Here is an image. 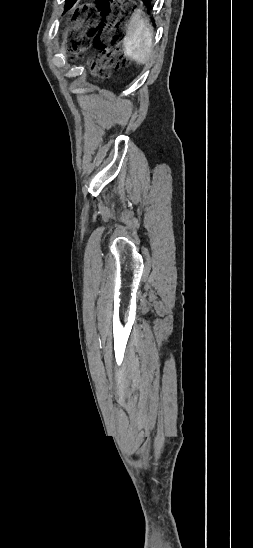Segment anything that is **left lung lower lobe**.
<instances>
[{
    "label": "left lung lower lobe",
    "mask_w": 253,
    "mask_h": 548,
    "mask_svg": "<svg viewBox=\"0 0 253 548\" xmlns=\"http://www.w3.org/2000/svg\"><path fill=\"white\" fill-rule=\"evenodd\" d=\"M77 0H67L66 1V5H65V11L68 10L69 8L72 7V5L76 2ZM152 0H143V2L147 5V6H150V3H151Z\"/></svg>",
    "instance_id": "1"
}]
</instances>
